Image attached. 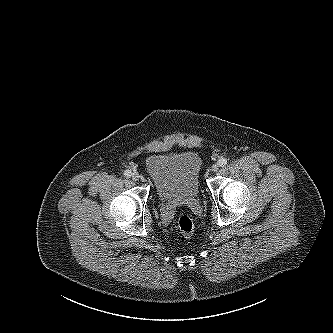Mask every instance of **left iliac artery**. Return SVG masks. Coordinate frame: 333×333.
<instances>
[{"instance_id":"44dca946","label":"left iliac artery","mask_w":333,"mask_h":333,"mask_svg":"<svg viewBox=\"0 0 333 333\" xmlns=\"http://www.w3.org/2000/svg\"><path fill=\"white\" fill-rule=\"evenodd\" d=\"M219 166H225L227 164V159L226 158H221L218 161Z\"/></svg>"}]
</instances>
